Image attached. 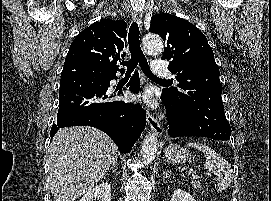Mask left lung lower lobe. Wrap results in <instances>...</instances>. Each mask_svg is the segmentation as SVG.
Instances as JSON below:
<instances>
[{
	"label": "left lung lower lobe",
	"mask_w": 271,
	"mask_h": 201,
	"mask_svg": "<svg viewBox=\"0 0 271 201\" xmlns=\"http://www.w3.org/2000/svg\"><path fill=\"white\" fill-rule=\"evenodd\" d=\"M161 99L166 107L169 130L168 133L171 137L179 136H195L206 137V135L192 126L188 121L183 120L178 113L176 106L170 96L162 91Z\"/></svg>",
	"instance_id": "left-lung-lower-lobe-1"
}]
</instances>
